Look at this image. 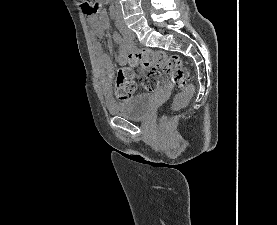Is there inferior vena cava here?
Segmentation results:
<instances>
[{"label":"inferior vena cava","mask_w":277,"mask_h":225,"mask_svg":"<svg viewBox=\"0 0 277 225\" xmlns=\"http://www.w3.org/2000/svg\"><path fill=\"white\" fill-rule=\"evenodd\" d=\"M122 22H123V20H122L121 14H117L116 24L119 25V23H122Z\"/></svg>","instance_id":"inferior-vena-cava-1"}]
</instances>
